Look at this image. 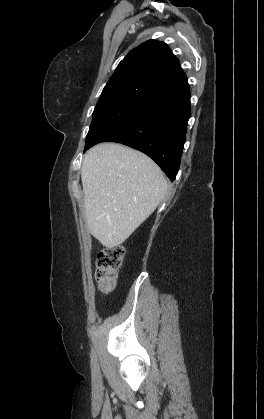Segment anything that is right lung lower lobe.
<instances>
[{"instance_id": "1", "label": "right lung lower lobe", "mask_w": 264, "mask_h": 419, "mask_svg": "<svg viewBox=\"0 0 264 419\" xmlns=\"http://www.w3.org/2000/svg\"><path fill=\"white\" fill-rule=\"evenodd\" d=\"M189 88L144 101L131 118L102 142H118L142 151L171 179L178 173L187 122Z\"/></svg>"}]
</instances>
